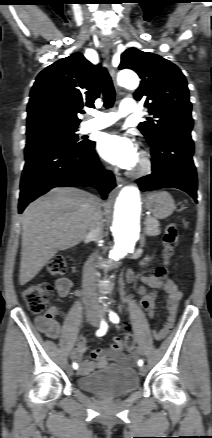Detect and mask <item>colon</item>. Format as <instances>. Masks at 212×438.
Listing matches in <instances>:
<instances>
[{
	"mask_svg": "<svg viewBox=\"0 0 212 438\" xmlns=\"http://www.w3.org/2000/svg\"><path fill=\"white\" fill-rule=\"evenodd\" d=\"M178 230L176 225L170 224L163 235V252L162 257L164 264L160 266L156 271V277L162 281H167L169 273V264L174 256V248L177 243ZM66 269V258L63 255L54 256L48 263L47 270L51 275L62 274ZM52 287L47 283H31L28 284L24 291L23 297L27 303L30 311L34 313H40L44 310L45 306L52 297ZM156 293L147 292L142 296L140 301V307L147 313H149L155 304ZM125 345L128 350H132L134 347V337L131 332H128L125 336Z\"/></svg>",
	"mask_w": 212,
	"mask_h": 438,
	"instance_id": "colon-1",
	"label": "colon"
}]
</instances>
